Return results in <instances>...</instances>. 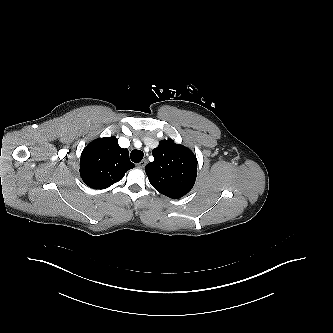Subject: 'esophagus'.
I'll return each instance as SVG.
<instances>
[{"mask_svg":"<svg viewBox=\"0 0 333 333\" xmlns=\"http://www.w3.org/2000/svg\"><path fill=\"white\" fill-rule=\"evenodd\" d=\"M147 164V161L146 160H142L139 164H138V167L139 168H144Z\"/></svg>","mask_w":333,"mask_h":333,"instance_id":"34e87169","label":"esophagus"}]
</instances>
